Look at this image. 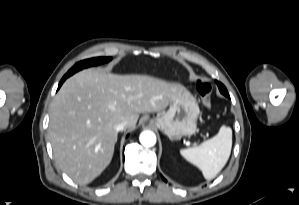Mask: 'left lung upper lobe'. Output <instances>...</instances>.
<instances>
[{"label": "left lung upper lobe", "instance_id": "left-lung-upper-lobe-1", "mask_svg": "<svg viewBox=\"0 0 299 205\" xmlns=\"http://www.w3.org/2000/svg\"><path fill=\"white\" fill-rule=\"evenodd\" d=\"M216 83H217V85H218V87H219L220 92H221L222 94H224V95H227L228 92H227L226 87H225L222 83H220V82H217V81H216Z\"/></svg>", "mask_w": 299, "mask_h": 205}]
</instances>
